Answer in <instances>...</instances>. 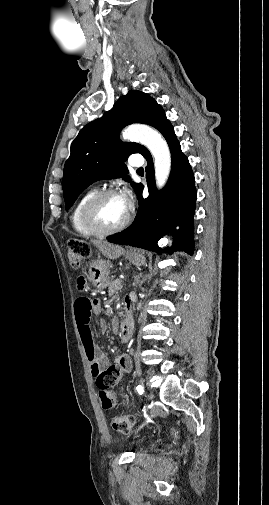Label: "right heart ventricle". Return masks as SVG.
I'll return each instance as SVG.
<instances>
[{"label":"right heart ventricle","instance_id":"e07e8e85","mask_svg":"<svg viewBox=\"0 0 269 505\" xmlns=\"http://www.w3.org/2000/svg\"><path fill=\"white\" fill-rule=\"evenodd\" d=\"M97 191L95 189H91L85 192L79 200L74 205L71 214H70V223L76 234L82 237H92L97 234L93 233L89 230L82 220V209L85 203L89 200V198L94 195Z\"/></svg>","mask_w":269,"mask_h":505}]
</instances>
